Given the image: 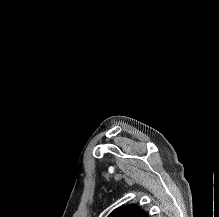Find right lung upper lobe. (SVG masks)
I'll return each mask as SVG.
<instances>
[{"label": "right lung upper lobe", "instance_id": "obj_1", "mask_svg": "<svg viewBox=\"0 0 219 217\" xmlns=\"http://www.w3.org/2000/svg\"><path fill=\"white\" fill-rule=\"evenodd\" d=\"M109 217H149L136 205H129L115 209Z\"/></svg>", "mask_w": 219, "mask_h": 217}]
</instances>
